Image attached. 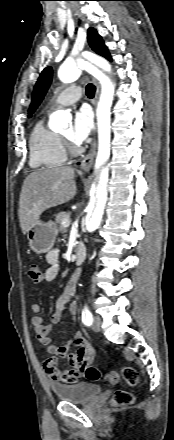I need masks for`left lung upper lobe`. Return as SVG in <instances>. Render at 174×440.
I'll list each match as a JSON object with an SVG mask.
<instances>
[{
  "label": "left lung upper lobe",
  "instance_id": "1",
  "mask_svg": "<svg viewBox=\"0 0 174 440\" xmlns=\"http://www.w3.org/2000/svg\"><path fill=\"white\" fill-rule=\"evenodd\" d=\"M88 41L89 44L96 53L105 57L106 59H110L111 56L108 52L107 47L105 46L101 36L97 33V31L93 28L88 29ZM52 80V68H45L34 87V91L32 94V102L29 108V116L36 110L40 102L42 101L44 95L46 94Z\"/></svg>",
  "mask_w": 174,
  "mask_h": 440
}]
</instances>
